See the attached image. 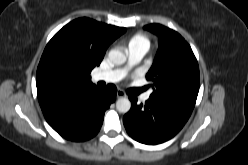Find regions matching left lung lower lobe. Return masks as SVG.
<instances>
[{
    "mask_svg": "<svg viewBox=\"0 0 248 165\" xmlns=\"http://www.w3.org/2000/svg\"><path fill=\"white\" fill-rule=\"evenodd\" d=\"M131 109L124 115L127 133L136 141L154 145L174 137L189 119L192 110L149 98L145 104H137V98L129 97Z\"/></svg>",
    "mask_w": 248,
    "mask_h": 165,
    "instance_id": "0a47b994",
    "label": "left lung lower lobe"
}]
</instances>
